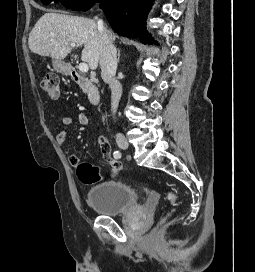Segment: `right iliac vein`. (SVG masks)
Returning a JSON list of instances; mask_svg holds the SVG:
<instances>
[{"label":"right iliac vein","mask_w":255,"mask_h":272,"mask_svg":"<svg viewBox=\"0 0 255 272\" xmlns=\"http://www.w3.org/2000/svg\"><path fill=\"white\" fill-rule=\"evenodd\" d=\"M116 142L117 145L121 148V149H127L128 148V141L126 139V137L122 134H118L116 136Z\"/></svg>","instance_id":"1"}]
</instances>
